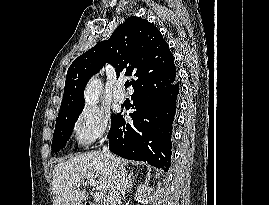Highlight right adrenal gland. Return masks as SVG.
<instances>
[{
    "mask_svg": "<svg viewBox=\"0 0 269 205\" xmlns=\"http://www.w3.org/2000/svg\"><path fill=\"white\" fill-rule=\"evenodd\" d=\"M133 180H134V173L130 172L128 175V185H127V190L130 191L132 186H133Z\"/></svg>",
    "mask_w": 269,
    "mask_h": 205,
    "instance_id": "1",
    "label": "right adrenal gland"
}]
</instances>
